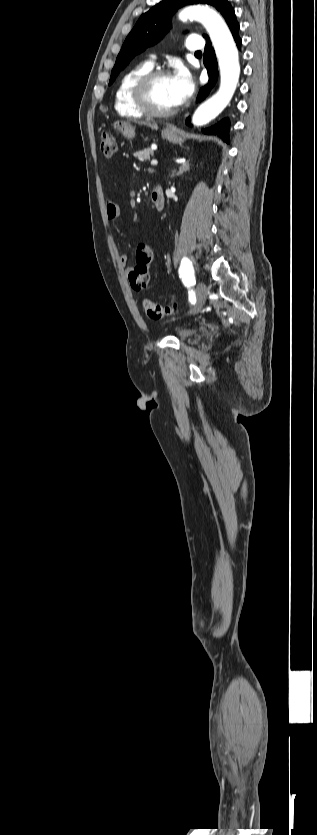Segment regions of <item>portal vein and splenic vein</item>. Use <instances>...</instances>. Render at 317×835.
<instances>
[{
	"mask_svg": "<svg viewBox=\"0 0 317 835\" xmlns=\"http://www.w3.org/2000/svg\"><path fill=\"white\" fill-rule=\"evenodd\" d=\"M152 149H156V146H152ZM157 164H158L157 160H152L151 161L152 166H157Z\"/></svg>",
	"mask_w": 317,
	"mask_h": 835,
	"instance_id": "1",
	"label": "portal vein and splenic vein"
}]
</instances>
